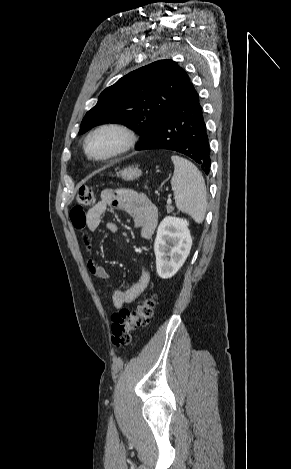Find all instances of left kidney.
<instances>
[{"instance_id":"5707ae66","label":"left kidney","mask_w":291,"mask_h":469,"mask_svg":"<svg viewBox=\"0 0 291 469\" xmlns=\"http://www.w3.org/2000/svg\"><path fill=\"white\" fill-rule=\"evenodd\" d=\"M187 220L166 217L159 224L154 243L156 269L162 279L173 277L187 259L192 238Z\"/></svg>"}]
</instances>
